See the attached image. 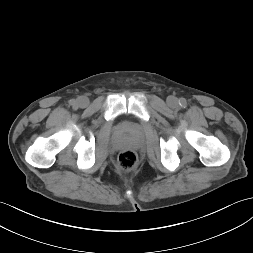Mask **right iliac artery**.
I'll use <instances>...</instances> for the list:
<instances>
[{"mask_svg":"<svg viewBox=\"0 0 253 253\" xmlns=\"http://www.w3.org/2000/svg\"><path fill=\"white\" fill-rule=\"evenodd\" d=\"M70 104L73 105V106H76L77 102L75 100H70Z\"/></svg>","mask_w":253,"mask_h":253,"instance_id":"right-iliac-artery-1","label":"right iliac artery"}]
</instances>
